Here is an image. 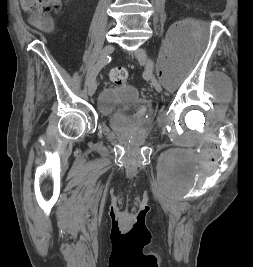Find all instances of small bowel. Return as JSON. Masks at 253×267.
<instances>
[{
    "label": "small bowel",
    "instance_id": "small-bowel-1",
    "mask_svg": "<svg viewBox=\"0 0 253 267\" xmlns=\"http://www.w3.org/2000/svg\"><path fill=\"white\" fill-rule=\"evenodd\" d=\"M29 23L46 34H52L54 32V22L50 15H31L29 17Z\"/></svg>",
    "mask_w": 253,
    "mask_h": 267
}]
</instances>
